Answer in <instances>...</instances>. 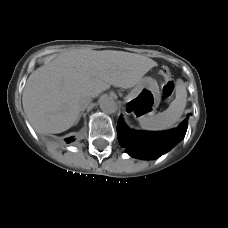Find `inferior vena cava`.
Listing matches in <instances>:
<instances>
[{
	"mask_svg": "<svg viewBox=\"0 0 228 228\" xmlns=\"http://www.w3.org/2000/svg\"><path fill=\"white\" fill-rule=\"evenodd\" d=\"M91 101H92V98L90 95H81L77 101L79 110L84 111Z\"/></svg>",
	"mask_w": 228,
	"mask_h": 228,
	"instance_id": "inferior-vena-cava-1",
	"label": "inferior vena cava"
}]
</instances>
